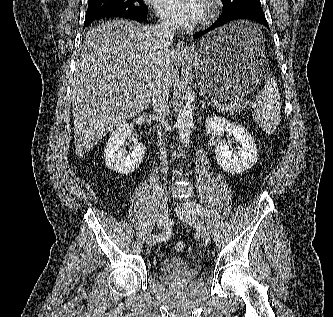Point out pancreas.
I'll return each instance as SVG.
<instances>
[{"instance_id":"cf45deb5","label":"pancreas","mask_w":333,"mask_h":317,"mask_svg":"<svg viewBox=\"0 0 333 317\" xmlns=\"http://www.w3.org/2000/svg\"><path fill=\"white\" fill-rule=\"evenodd\" d=\"M244 107H245V105L240 102H234L232 104H225V105H221V104L216 105V109L219 112H230V113H233L238 110H242V109H244Z\"/></svg>"}]
</instances>
